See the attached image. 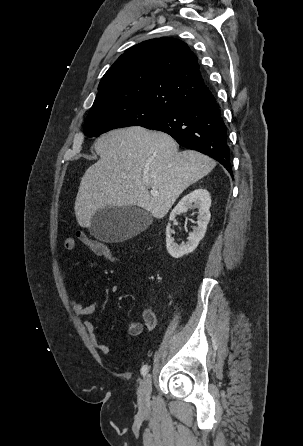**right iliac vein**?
I'll return each instance as SVG.
<instances>
[{"label":"right iliac vein","mask_w":303,"mask_h":446,"mask_svg":"<svg viewBox=\"0 0 303 446\" xmlns=\"http://www.w3.org/2000/svg\"><path fill=\"white\" fill-rule=\"evenodd\" d=\"M152 390V377L147 374L138 389V404L141 410L146 411L149 407L150 394Z\"/></svg>","instance_id":"obj_1"}]
</instances>
